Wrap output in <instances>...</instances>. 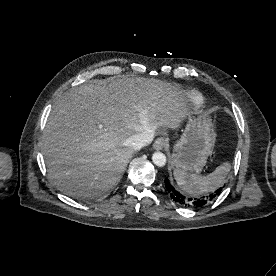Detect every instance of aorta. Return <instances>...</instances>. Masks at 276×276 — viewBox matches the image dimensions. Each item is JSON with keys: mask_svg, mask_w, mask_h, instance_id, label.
<instances>
[{"mask_svg": "<svg viewBox=\"0 0 276 276\" xmlns=\"http://www.w3.org/2000/svg\"><path fill=\"white\" fill-rule=\"evenodd\" d=\"M152 161L156 166L163 167L165 166L167 159L165 154H163L162 152H155L152 155Z\"/></svg>", "mask_w": 276, "mask_h": 276, "instance_id": "aorta-1", "label": "aorta"}]
</instances>
